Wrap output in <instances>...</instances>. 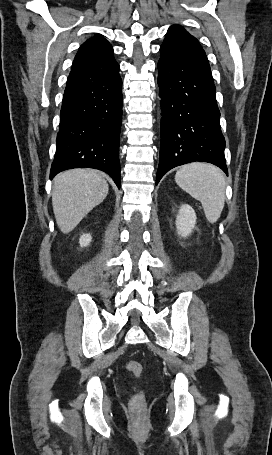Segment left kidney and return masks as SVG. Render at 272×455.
Returning <instances> with one entry per match:
<instances>
[{"label": "left kidney", "mask_w": 272, "mask_h": 455, "mask_svg": "<svg viewBox=\"0 0 272 455\" xmlns=\"http://www.w3.org/2000/svg\"><path fill=\"white\" fill-rule=\"evenodd\" d=\"M196 219L194 209L188 204L182 205L176 218L178 234L182 237L189 236L195 228Z\"/></svg>", "instance_id": "obj_1"}]
</instances>
